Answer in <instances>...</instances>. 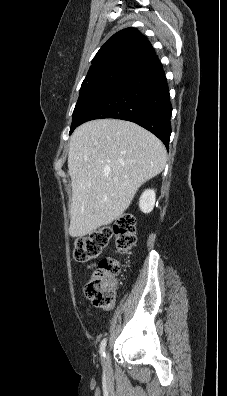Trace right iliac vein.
I'll return each instance as SVG.
<instances>
[{"mask_svg":"<svg viewBox=\"0 0 227 396\" xmlns=\"http://www.w3.org/2000/svg\"><path fill=\"white\" fill-rule=\"evenodd\" d=\"M108 359H109L108 354H106V356L103 359V363H104L105 366H107Z\"/></svg>","mask_w":227,"mask_h":396,"instance_id":"1","label":"right iliac vein"}]
</instances>
